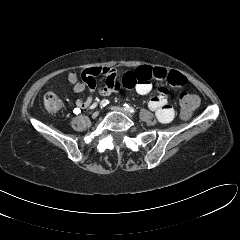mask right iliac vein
<instances>
[{
	"mask_svg": "<svg viewBox=\"0 0 240 240\" xmlns=\"http://www.w3.org/2000/svg\"><path fill=\"white\" fill-rule=\"evenodd\" d=\"M99 115V111H95L93 114H92V118L95 119L97 118Z\"/></svg>",
	"mask_w": 240,
	"mask_h": 240,
	"instance_id": "obj_1",
	"label": "right iliac vein"
}]
</instances>
